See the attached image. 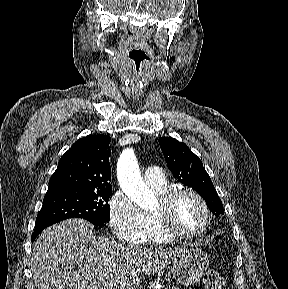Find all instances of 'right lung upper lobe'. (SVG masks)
<instances>
[{
    "label": "right lung upper lobe",
    "mask_w": 288,
    "mask_h": 289,
    "mask_svg": "<svg viewBox=\"0 0 288 289\" xmlns=\"http://www.w3.org/2000/svg\"><path fill=\"white\" fill-rule=\"evenodd\" d=\"M110 141L109 136L89 135L75 142L59 160L48 190L112 188Z\"/></svg>",
    "instance_id": "cb5924a9"
}]
</instances>
